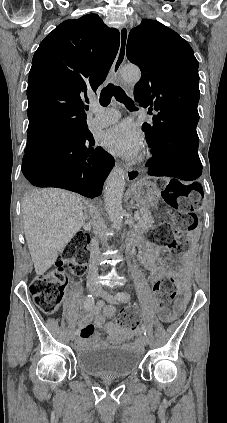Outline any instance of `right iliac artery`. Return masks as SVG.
Masks as SVG:
<instances>
[{
	"mask_svg": "<svg viewBox=\"0 0 227 423\" xmlns=\"http://www.w3.org/2000/svg\"><path fill=\"white\" fill-rule=\"evenodd\" d=\"M93 306H94V297L92 296V295H88L87 297H86V299H85V302H84V309L85 310H87V311H90L92 308H93ZM75 334L76 335H79L80 334V330L79 329H77L76 330V332H75Z\"/></svg>",
	"mask_w": 227,
	"mask_h": 423,
	"instance_id": "obj_1",
	"label": "right iliac artery"
}]
</instances>
